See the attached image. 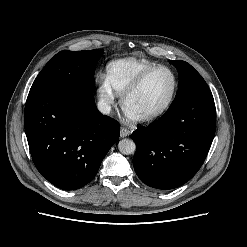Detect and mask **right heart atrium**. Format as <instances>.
Instances as JSON below:
<instances>
[{
	"label": "right heart atrium",
	"mask_w": 247,
	"mask_h": 247,
	"mask_svg": "<svg viewBox=\"0 0 247 247\" xmlns=\"http://www.w3.org/2000/svg\"><path fill=\"white\" fill-rule=\"evenodd\" d=\"M97 93L100 102L104 106L110 107L114 103L116 97L115 91L104 75L99 76V86Z\"/></svg>",
	"instance_id": "1"
}]
</instances>
